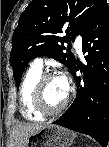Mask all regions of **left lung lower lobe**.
Instances as JSON below:
<instances>
[{"label":"left lung lower lobe","instance_id":"0a47b994","mask_svg":"<svg viewBox=\"0 0 109 147\" xmlns=\"http://www.w3.org/2000/svg\"><path fill=\"white\" fill-rule=\"evenodd\" d=\"M87 65L79 62L72 72L77 95L69 109L54 122L76 132L87 134L106 146L109 140V6L103 4L82 34ZM83 72V78L76 71ZM98 72L104 84L95 92L89 89L90 73Z\"/></svg>","mask_w":109,"mask_h":147}]
</instances>
